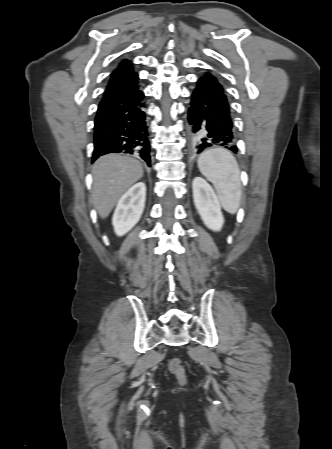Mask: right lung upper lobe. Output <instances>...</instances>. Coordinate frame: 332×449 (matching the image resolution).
Masks as SVG:
<instances>
[{"label":"right lung upper lobe","mask_w":332,"mask_h":449,"mask_svg":"<svg viewBox=\"0 0 332 449\" xmlns=\"http://www.w3.org/2000/svg\"><path fill=\"white\" fill-rule=\"evenodd\" d=\"M138 74L131 66V62L123 60L113 71L103 97L125 95L137 91Z\"/></svg>","instance_id":"obj_1"}]
</instances>
